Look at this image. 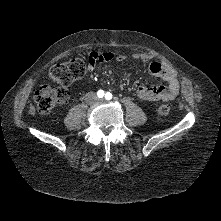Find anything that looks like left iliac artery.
<instances>
[{"label":"left iliac artery","mask_w":221,"mask_h":221,"mask_svg":"<svg viewBox=\"0 0 221 221\" xmlns=\"http://www.w3.org/2000/svg\"><path fill=\"white\" fill-rule=\"evenodd\" d=\"M105 98H106L107 100L112 99V94H111L110 92H107L106 95H105Z\"/></svg>","instance_id":"1"}]
</instances>
